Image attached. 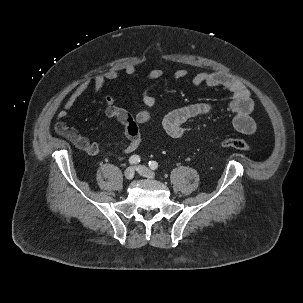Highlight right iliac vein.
I'll return each instance as SVG.
<instances>
[{
	"label": "right iliac vein",
	"instance_id": "63e3f726",
	"mask_svg": "<svg viewBox=\"0 0 303 303\" xmlns=\"http://www.w3.org/2000/svg\"><path fill=\"white\" fill-rule=\"evenodd\" d=\"M135 175V172H134V168L133 167H128L125 171H124V176L126 179L128 180H131L133 179Z\"/></svg>",
	"mask_w": 303,
	"mask_h": 303
}]
</instances>
